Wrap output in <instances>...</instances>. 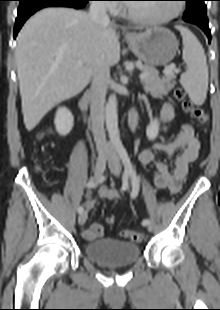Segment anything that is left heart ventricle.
<instances>
[{
	"instance_id": "b2bd125f",
	"label": "left heart ventricle",
	"mask_w": 220,
	"mask_h": 310,
	"mask_svg": "<svg viewBox=\"0 0 220 310\" xmlns=\"http://www.w3.org/2000/svg\"><path fill=\"white\" fill-rule=\"evenodd\" d=\"M175 4H129L128 9L140 16L151 19L165 17L173 12Z\"/></svg>"
}]
</instances>
